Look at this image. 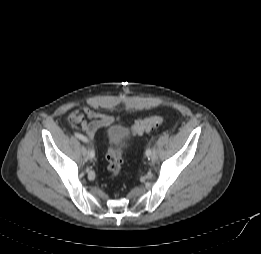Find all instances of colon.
Returning a JSON list of instances; mask_svg holds the SVG:
<instances>
[{"mask_svg": "<svg viewBox=\"0 0 261 254\" xmlns=\"http://www.w3.org/2000/svg\"><path fill=\"white\" fill-rule=\"evenodd\" d=\"M165 121V118L159 115H153L137 120L132 128L131 133L133 135H141L145 132L151 131L161 126ZM107 169L112 178H116L121 171L122 167V151L120 148H110L106 154Z\"/></svg>", "mask_w": 261, "mask_h": 254, "instance_id": "5ec220e1", "label": "colon"}]
</instances>
